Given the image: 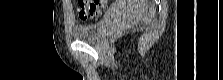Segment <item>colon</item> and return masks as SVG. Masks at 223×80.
I'll return each instance as SVG.
<instances>
[{
  "instance_id": "obj_1",
  "label": "colon",
  "mask_w": 223,
  "mask_h": 80,
  "mask_svg": "<svg viewBox=\"0 0 223 80\" xmlns=\"http://www.w3.org/2000/svg\"><path fill=\"white\" fill-rule=\"evenodd\" d=\"M103 2L99 0L94 1H78L76 4V8L79 16L82 19H88L99 16L103 9Z\"/></svg>"
}]
</instances>
